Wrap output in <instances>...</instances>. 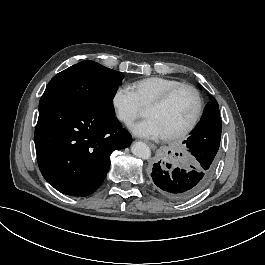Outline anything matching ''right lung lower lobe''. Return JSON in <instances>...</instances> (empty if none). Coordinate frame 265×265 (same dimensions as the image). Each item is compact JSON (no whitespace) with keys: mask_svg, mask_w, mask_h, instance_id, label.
Returning a JSON list of instances; mask_svg holds the SVG:
<instances>
[{"mask_svg":"<svg viewBox=\"0 0 265 265\" xmlns=\"http://www.w3.org/2000/svg\"><path fill=\"white\" fill-rule=\"evenodd\" d=\"M131 141L114 116L55 100L39 103L38 165L46 181L63 194H92L106 177L110 154Z\"/></svg>","mask_w":265,"mask_h":265,"instance_id":"1","label":"right lung lower lobe"}]
</instances>
